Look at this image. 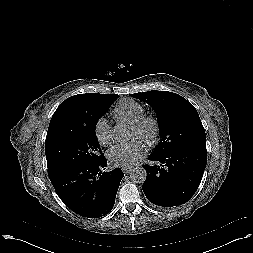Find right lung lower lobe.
<instances>
[{"label": "right lung lower lobe", "mask_w": 253, "mask_h": 253, "mask_svg": "<svg viewBox=\"0 0 253 253\" xmlns=\"http://www.w3.org/2000/svg\"><path fill=\"white\" fill-rule=\"evenodd\" d=\"M105 157L49 174L50 181L63 203L76 214L99 218L108 214L115 203L124 174L120 168L104 172Z\"/></svg>", "instance_id": "obj_1"}]
</instances>
